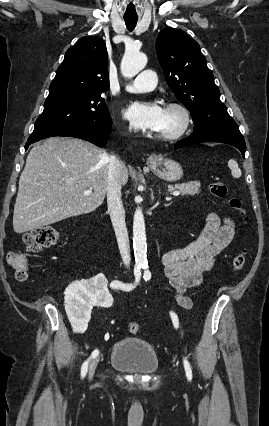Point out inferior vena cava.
Listing matches in <instances>:
<instances>
[{
    "mask_svg": "<svg viewBox=\"0 0 269 426\" xmlns=\"http://www.w3.org/2000/svg\"><path fill=\"white\" fill-rule=\"evenodd\" d=\"M123 163L115 155L109 157L107 178V205L114 227L118 247L125 265L130 264V246L125 223V210L121 200V170Z\"/></svg>",
    "mask_w": 269,
    "mask_h": 426,
    "instance_id": "602c4592",
    "label": "inferior vena cava"
}]
</instances>
